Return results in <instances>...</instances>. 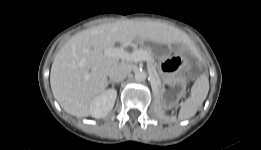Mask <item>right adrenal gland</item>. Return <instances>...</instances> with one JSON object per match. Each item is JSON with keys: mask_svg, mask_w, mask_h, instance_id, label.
Masks as SVG:
<instances>
[{"mask_svg": "<svg viewBox=\"0 0 261 150\" xmlns=\"http://www.w3.org/2000/svg\"><path fill=\"white\" fill-rule=\"evenodd\" d=\"M109 84H111L112 86H115L116 83H115V82H112V81H108V82H107V85H109Z\"/></svg>", "mask_w": 261, "mask_h": 150, "instance_id": "right-adrenal-gland-1", "label": "right adrenal gland"}]
</instances>
